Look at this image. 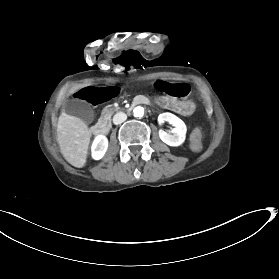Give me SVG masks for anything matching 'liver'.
Instances as JSON below:
<instances>
[{
  "label": "liver",
  "instance_id": "6515ba94",
  "mask_svg": "<svg viewBox=\"0 0 279 279\" xmlns=\"http://www.w3.org/2000/svg\"><path fill=\"white\" fill-rule=\"evenodd\" d=\"M57 143L65 160L76 168L86 162L91 133L80 118L68 115L63 109L57 121Z\"/></svg>",
  "mask_w": 279,
  "mask_h": 279
}]
</instances>
